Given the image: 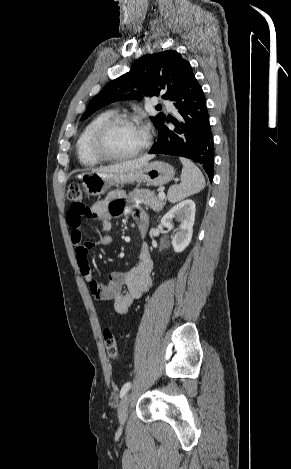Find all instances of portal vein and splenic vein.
<instances>
[{
  "mask_svg": "<svg viewBox=\"0 0 291 469\" xmlns=\"http://www.w3.org/2000/svg\"><path fill=\"white\" fill-rule=\"evenodd\" d=\"M158 197H159L160 199H164V198H165V193H164V192H160V193L158 194Z\"/></svg>",
  "mask_w": 291,
  "mask_h": 469,
  "instance_id": "obj_1",
  "label": "portal vein and splenic vein"
}]
</instances>
